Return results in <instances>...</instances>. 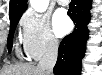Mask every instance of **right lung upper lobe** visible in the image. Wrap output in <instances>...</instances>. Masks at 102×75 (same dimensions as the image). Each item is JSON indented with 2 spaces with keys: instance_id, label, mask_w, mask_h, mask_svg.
<instances>
[{
  "instance_id": "cb5924a9",
  "label": "right lung upper lobe",
  "mask_w": 102,
  "mask_h": 75,
  "mask_svg": "<svg viewBox=\"0 0 102 75\" xmlns=\"http://www.w3.org/2000/svg\"><path fill=\"white\" fill-rule=\"evenodd\" d=\"M27 0H10L9 16L22 14L27 8Z\"/></svg>"
}]
</instances>
